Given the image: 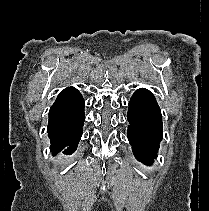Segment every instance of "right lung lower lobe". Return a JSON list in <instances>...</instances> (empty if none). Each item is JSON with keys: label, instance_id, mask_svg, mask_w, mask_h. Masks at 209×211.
<instances>
[{"label": "right lung lower lobe", "instance_id": "98d812e1", "mask_svg": "<svg viewBox=\"0 0 209 211\" xmlns=\"http://www.w3.org/2000/svg\"><path fill=\"white\" fill-rule=\"evenodd\" d=\"M84 99L74 87L60 92L49 111L48 136L50 150L55 156L60 151L73 153L82 136L85 120Z\"/></svg>", "mask_w": 209, "mask_h": 211}]
</instances>
